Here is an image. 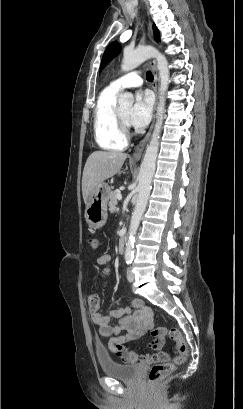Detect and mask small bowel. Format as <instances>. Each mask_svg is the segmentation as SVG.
<instances>
[{"instance_id":"obj_1","label":"small bowel","mask_w":243,"mask_h":409,"mask_svg":"<svg viewBox=\"0 0 243 409\" xmlns=\"http://www.w3.org/2000/svg\"><path fill=\"white\" fill-rule=\"evenodd\" d=\"M98 263L103 265L102 275L110 272V255H102ZM90 309V308H89ZM92 322L97 326L102 337L109 338L108 349L123 361L134 364L139 361L147 363L162 362L170 359V355L161 351L164 340L154 339L148 343V348L154 353L137 352L127 347L151 329L153 316L151 309L141 299H134L129 306L114 308L106 314L90 309ZM115 321V324H112Z\"/></svg>"}]
</instances>
